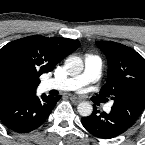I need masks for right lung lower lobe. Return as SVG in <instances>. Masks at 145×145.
I'll return each mask as SVG.
<instances>
[{
  "instance_id": "1",
  "label": "right lung lower lobe",
  "mask_w": 145,
  "mask_h": 145,
  "mask_svg": "<svg viewBox=\"0 0 145 145\" xmlns=\"http://www.w3.org/2000/svg\"><path fill=\"white\" fill-rule=\"evenodd\" d=\"M61 96L36 94L0 101V121L10 130L27 133L40 127Z\"/></svg>"
}]
</instances>
